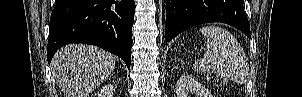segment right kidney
<instances>
[{"label":"right kidney","instance_id":"1","mask_svg":"<svg viewBox=\"0 0 302 97\" xmlns=\"http://www.w3.org/2000/svg\"><path fill=\"white\" fill-rule=\"evenodd\" d=\"M112 94H113V86L109 84L102 87V89L98 93V97H112Z\"/></svg>","mask_w":302,"mask_h":97}]
</instances>
